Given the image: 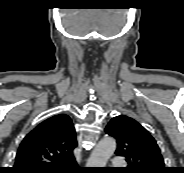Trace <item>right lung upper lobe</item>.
Wrapping results in <instances>:
<instances>
[{"instance_id": "1", "label": "right lung upper lobe", "mask_w": 184, "mask_h": 173, "mask_svg": "<svg viewBox=\"0 0 184 173\" xmlns=\"http://www.w3.org/2000/svg\"><path fill=\"white\" fill-rule=\"evenodd\" d=\"M76 133L69 116L55 115L40 123L21 142L13 173H56L75 163Z\"/></svg>"}]
</instances>
